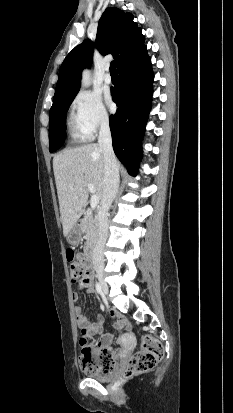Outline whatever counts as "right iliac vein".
Listing matches in <instances>:
<instances>
[{"mask_svg":"<svg viewBox=\"0 0 233 413\" xmlns=\"http://www.w3.org/2000/svg\"><path fill=\"white\" fill-rule=\"evenodd\" d=\"M99 280H100L101 287H102L104 293L107 294L108 293V286H107L106 282L103 280L102 276L99 277Z\"/></svg>","mask_w":233,"mask_h":413,"instance_id":"1","label":"right iliac vein"}]
</instances>
